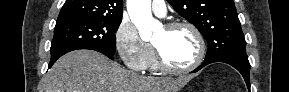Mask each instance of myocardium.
<instances>
[{
	"label": "myocardium",
	"instance_id": "obj_1",
	"mask_svg": "<svg viewBox=\"0 0 289 92\" xmlns=\"http://www.w3.org/2000/svg\"><path fill=\"white\" fill-rule=\"evenodd\" d=\"M165 28L169 29V30L177 29V28L189 29L193 33V35L195 36V38L197 40L198 54H197V57L194 60V62L191 63L190 65L185 66V67H175V66L170 65L164 59V57L161 54V52L159 51V49L153 44L158 66L166 72L176 73V74L188 73V72H191V71L195 70L196 68H198L202 64V62L204 61V58L206 55L205 38H204L203 34L201 33V31L199 30V28L195 24L188 22V21H173V22L166 24Z\"/></svg>",
	"mask_w": 289,
	"mask_h": 92
}]
</instances>
